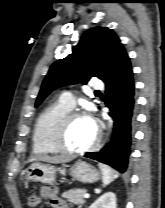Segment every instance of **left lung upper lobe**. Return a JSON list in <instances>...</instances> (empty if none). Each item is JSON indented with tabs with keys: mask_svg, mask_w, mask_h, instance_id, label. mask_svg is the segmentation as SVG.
Masks as SVG:
<instances>
[{
	"mask_svg": "<svg viewBox=\"0 0 165 208\" xmlns=\"http://www.w3.org/2000/svg\"><path fill=\"white\" fill-rule=\"evenodd\" d=\"M126 56L125 48L114 31L107 27L88 30L70 55L51 65L35 106H39L58 87L87 83L92 77L105 81L114 74Z\"/></svg>",
	"mask_w": 165,
	"mask_h": 208,
	"instance_id": "left-lung-upper-lobe-1",
	"label": "left lung upper lobe"
}]
</instances>
